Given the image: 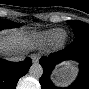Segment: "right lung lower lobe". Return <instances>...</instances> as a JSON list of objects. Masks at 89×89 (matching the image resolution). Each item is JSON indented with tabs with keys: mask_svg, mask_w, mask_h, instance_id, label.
<instances>
[{
	"mask_svg": "<svg viewBox=\"0 0 89 89\" xmlns=\"http://www.w3.org/2000/svg\"><path fill=\"white\" fill-rule=\"evenodd\" d=\"M31 65L32 62L30 58H26L21 62L0 60L1 89H15L19 78L28 72Z\"/></svg>",
	"mask_w": 89,
	"mask_h": 89,
	"instance_id": "right-lung-lower-lobe-1",
	"label": "right lung lower lobe"
}]
</instances>
